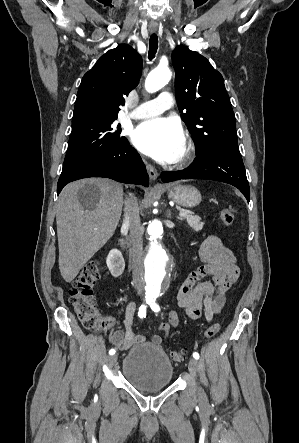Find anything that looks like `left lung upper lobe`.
I'll return each instance as SVG.
<instances>
[{
  "mask_svg": "<svg viewBox=\"0 0 299 443\" xmlns=\"http://www.w3.org/2000/svg\"><path fill=\"white\" fill-rule=\"evenodd\" d=\"M175 94L196 155L221 148L239 152L236 121L222 75L197 52L177 46L172 53Z\"/></svg>",
  "mask_w": 299,
  "mask_h": 443,
  "instance_id": "obj_1",
  "label": "left lung upper lobe"
}]
</instances>
